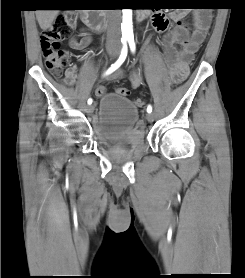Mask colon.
I'll list each match as a JSON object with an SVG mask.
<instances>
[{
  "mask_svg": "<svg viewBox=\"0 0 245 278\" xmlns=\"http://www.w3.org/2000/svg\"><path fill=\"white\" fill-rule=\"evenodd\" d=\"M199 7L206 11H212L213 5L209 3L200 4ZM73 29L72 17L67 14H58L54 18L53 24L42 30L40 41L42 54L45 60V64L49 72L55 77L60 79L63 74L64 67L68 61V54L61 49L60 42L62 39L71 35ZM182 81V78L173 75V84L178 85ZM117 94L120 96H128L129 90L124 87L116 89ZM134 103L137 107H142L144 101L141 98H136Z\"/></svg>",
  "mask_w": 245,
  "mask_h": 278,
  "instance_id": "1",
  "label": "colon"
}]
</instances>
